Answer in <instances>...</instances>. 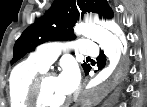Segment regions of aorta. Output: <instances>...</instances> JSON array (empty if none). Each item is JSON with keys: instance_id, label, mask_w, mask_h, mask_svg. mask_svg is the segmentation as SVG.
Here are the masks:
<instances>
[{"instance_id": "762f6f07", "label": "aorta", "mask_w": 147, "mask_h": 107, "mask_svg": "<svg viewBox=\"0 0 147 107\" xmlns=\"http://www.w3.org/2000/svg\"><path fill=\"white\" fill-rule=\"evenodd\" d=\"M74 31L77 35L97 42L110 61V64L89 83L82 96L84 106H94L111 91L122 74L121 64L125 53V40L118 26L112 22L80 23L75 26Z\"/></svg>"}]
</instances>
